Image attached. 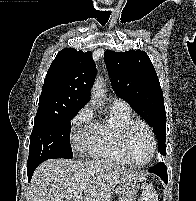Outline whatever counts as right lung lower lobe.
Instances as JSON below:
<instances>
[{
	"instance_id": "obj_1",
	"label": "right lung lower lobe",
	"mask_w": 196,
	"mask_h": 201,
	"mask_svg": "<svg viewBox=\"0 0 196 201\" xmlns=\"http://www.w3.org/2000/svg\"><path fill=\"white\" fill-rule=\"evenodd\" d=\"M39 164H35V165H32V166H27V174H28V180L30 181L32 175H33V172L34 170L37 168Z\"/></svg>"
}]
</instances>
